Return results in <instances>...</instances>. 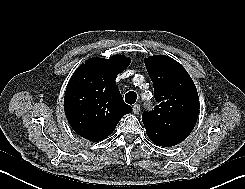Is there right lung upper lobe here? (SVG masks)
<instances>
[{
  "mask_svg": "<svg viewBox=\"0 0 245 189\" xmlns=\"http://www.w3.org/2000/svg\"><path fill=\"white\" fill-rule=\"evenodd\" d=\"M130 65V59L90 58L72 75L66 88L64 110L73 130L90 141L107 138L120 119L132 111L116 86V76Z\"/></svg>",
  "mask_w": 245,
  "mask_h": 189,
  "instance_id": "obj_1",
  "label": "right lung upper lobe"
}]
</instances>
